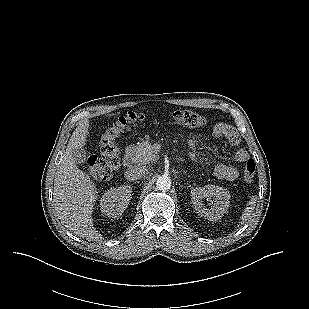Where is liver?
Here are the masks:
<instances>
[{
	"label": "liver",
	"mask_w": 309,
	"mask_h": 309,
	"mask_svg": "<svg viewBox=\"0 0 309 309\" xmlns=\"http://www.w3.org/2000/svg\"><path fill=\"white\" fill-rule=\"evenodd\" d=\"M89 121L84 120L70 137L54 179L53 201L61 223L76 235L89 241H101L102 235L94 228L92 213L96 188L90 177L80 170L72 150L82 148L88 135Z\"/></svg>",
	"instance_id": "liver-1"
}]
</instances>
